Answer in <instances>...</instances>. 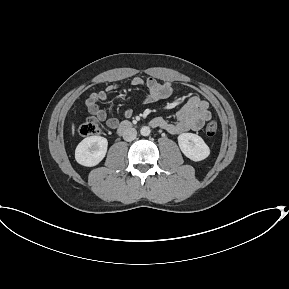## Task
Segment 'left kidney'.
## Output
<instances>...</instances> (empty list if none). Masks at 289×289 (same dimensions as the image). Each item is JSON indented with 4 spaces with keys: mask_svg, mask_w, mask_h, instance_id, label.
Segmentation results:
<instances>
[{
    "mask_svg": "<svg viewBox=\"0 0 289 289\" xmlns=\"http://www.w3.org/2000/svg\"><path fill=\"white\" fill-rule=\"evenodd\" d=\"M178 144L182 153L195 162L206 159L210 154V149L204 140L193 133L180 134Z\"/></svg>",
    "mask_w": 289,
    "mask_h": 289,
    "instance_id": "left-kidney-1",
    "label": "left kidney"
}]
</instances>
